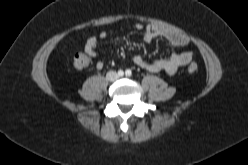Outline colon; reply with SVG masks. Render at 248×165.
<instances>
[{
  "label": "colon",
  "instance_id": "obj_1",
  "mask_svg": "<svg viewBox=\"0 0 248 165\" xmlns=\"http://www.w3.org/2000/svg\"><path fill=\"white\" fill-rule=\"evenodd\" d=\"M91 63V60L89 56L83 54V53H78L74 57V65L78 69H84L87 68ZM198 70V65L196 63H191L188 66V71L190 73H194Z\"/></svg>",
  "mask_w": 248,
  "mask_h": 165
}]
</instances>
